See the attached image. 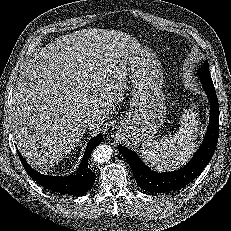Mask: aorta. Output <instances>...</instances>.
Masks as SVG:
<instances>
[{
    "instance_id": "762f6f07",
    "label": "aorta",
    "mask_w": 231,
    "mask_h": 231,
    "mask_svg": "<svg viewBox=\"0 0 231 231\" xmlns=\"http://www.w3.org/2000/svg\"><path fill=\"white\" fill-rule=\"evenodd\" d=\"M113 149L110 145H99L97 146L92 154V158L96 163H106L112 156Z\"/></svg>"
}]
</instances>
